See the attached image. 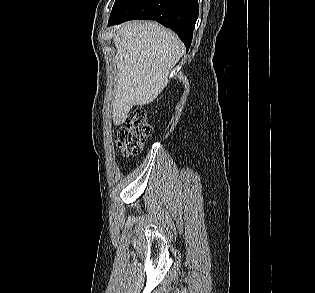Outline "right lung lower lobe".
I'll return each mask as SVG.
<instances>
[{
	"label": "right lung lower lobe",
	"mask_w": 315,
	"mask_h": 293,
	"mask_svg": "<svg viewBox=\"0 0 315 293\" xmlns=\"http://www.w3.org/2000/svg\"><path fill=\"white\" fill-rule=\"evenodd\" d=\"M197 18V0H116L108 25L133 19L156 20L174 30L188 50Z\"/></svg>",
	"instance_id": "98d812e1"
}]
</instances>
